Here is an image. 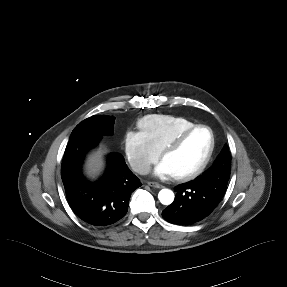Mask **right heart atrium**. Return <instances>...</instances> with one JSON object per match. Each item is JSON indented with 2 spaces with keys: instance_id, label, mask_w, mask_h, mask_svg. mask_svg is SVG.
I'll list each match as a JSON object with an SVG mask.
<instances>
[{
  "instance_id": "1",
  "label": "right heart atrium",
  "mask_w": 287,
  "mask_h": 287,
  "mask_svg": "<svg viewBox=\"0 0 287 287\" xmlns=\"http://www.w3.org/2000/svg\"><path fill=\"white\" fill-rule=\"evenodd\" d=\"M124 151L133 169L146 173L159 158V151L150 143L142 132L128 131L124 136Z\"/></svg>"
}]
</instances>
